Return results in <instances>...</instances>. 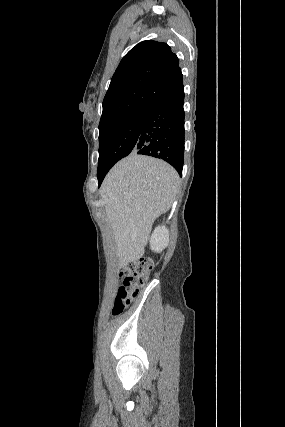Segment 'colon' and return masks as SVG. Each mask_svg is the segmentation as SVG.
I'll list each match as a JSON object with an SVG mask.
<instances>
[{
	"label": "colon",
	"mask_w": 285,
	"mask_h": 427,
	"mask_svg": "<svg viewBox=\"0 0 285 427\" xmlns=\"http://www.w3.org/2000/svg\"><path fill=\"white\" fill-rule=\"evenodd\" d=\"M152 265V261L148 258L136 259L125 265L120 273L121 285L113 299V315L121 314L138 295L140 288L148 279Z\"/></svg>",
	"instance_id": "obj_1"
}]
</instances>
